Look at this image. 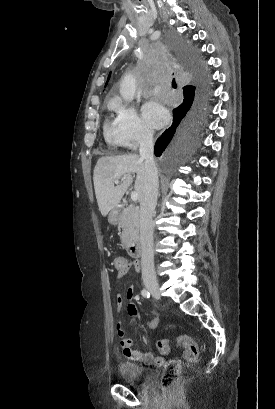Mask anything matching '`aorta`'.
<instances>
[{
    "mask_svg": "<svg viewBox=\"0 0 275 409\" xmlns=\"http://www.w3.org/2000/svg\"><path fill=\"white\" fill-rule=\"evenodd\" d=\"M136 90V80L133 74H126L121 80L120 84V94L124 100H133Z\"/></svg>",
    "mask_w": 275,
    "mask_h": 409,
    "instance_id": "1",
    "label": "aorta"
}]
</instances>
